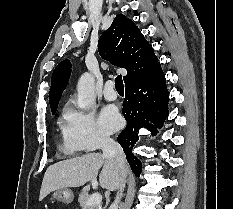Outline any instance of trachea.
I'll return each mask as SVG.
<instances>
[{"mask_svg":"<svg viewBox=\"0 0 233 209\" xmlns=\"http://www.w3.org/2000/svg\"><path fill=\"white\" fill-rule=\"evenodd\" d=\"M115 88L116 90H124V85H123V80H122V75H118L115 78Z\"/></svg>","mask_w":233,"mask_h":209,"instance_id":"3493384b","label":"trachea"}]
</instances>
